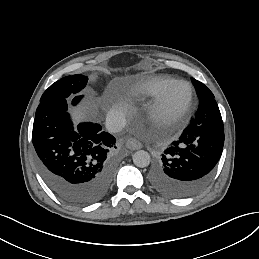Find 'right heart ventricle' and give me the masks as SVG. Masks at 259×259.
I'll use <instances>...</instances> for the list:
<instances>
[{
  "label": "right heart ventricle",
  "mask_w": 259,
  "mask_h": 259,
  "mask_svg": "<svg viewBox=\"0 0 259 259\" xmlns=\"http://www.w3.org/2000/svg\"><path fill=\"white\" fill-rule=\"evenodd\" d=\"M144 87L145 86L136 77H134L126 85L125 95L132 103H136L139 101L140 94Z\"/></svg>",
  "instance_id": "obj_1"
}]
</instances>
